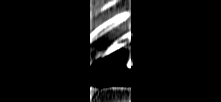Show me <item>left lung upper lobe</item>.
<instances>
[{
    "instance_id": "1",
    "label": "left lung upper lobe",
    "mask_w": 221,
    "mask_h": 102,
    "mask_svg": "<svg viewBox=\"0 0 221 102\" xmlns=\"http://www.w3.org/2000/svg\"><path fill=\"white\" fill-rule=\"evenodd\" d=\"M103 44H99L92 50L88 48L80 52L76 58L75 67L79 75H84L96 61L98 54L101 52Z\"/></svg>"
}]
</instances>
